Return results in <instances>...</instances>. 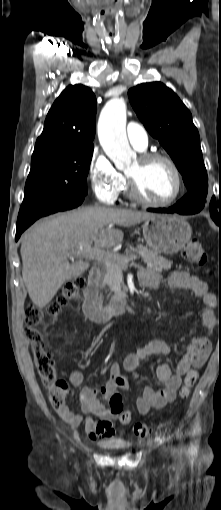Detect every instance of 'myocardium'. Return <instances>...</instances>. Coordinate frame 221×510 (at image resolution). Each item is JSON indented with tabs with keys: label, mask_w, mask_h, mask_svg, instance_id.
Masks as SVG:
<instances>
[{
	"label": "myocardium",
	"mask_w": 221,
	"mask_h": 510,
	"mask_svg": "<svg viewBox=\"0 0 221 510\" xmlns=\"http://www.w3.org/2000/svg\"><path fill=\"white\" fill-rule=\"evenodd\" d=\"M155 160H162L166 162L173 171L176 180V188L173 195L164 201H152L146 199L140 194L136 181L127 175L128 193L130 198L139 204L149 207L163 208L170 206L179 199L184 189V181L178 165L170 156L160 152H145L139 157V161L143 164H147Z\"/></svg>",
	"instance_id": "myocardium-1"
}]
</instances>
